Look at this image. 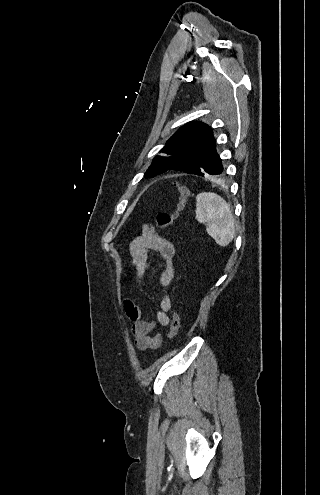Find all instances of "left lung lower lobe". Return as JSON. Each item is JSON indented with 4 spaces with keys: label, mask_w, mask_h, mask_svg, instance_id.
<instances>
[{
    "label": "left lung lower lobe",
    "mask_w": 320,
    "mask_h": 495,
    "mask_svg": "<svg viewBox=\"0 0 320 495\" xmlns=\"http://www.w3.org/2000/svg\"><path fill=\"white\" fill-rule=\"evenodd\" d=\"M188 174H195L201 177L207 175H222L224 168L221 163V159L216 151V148L208 153L203 159L193 167L184 171Z\"/></svg>",
    "instance_id": "obj_1"
}]
</instances>
